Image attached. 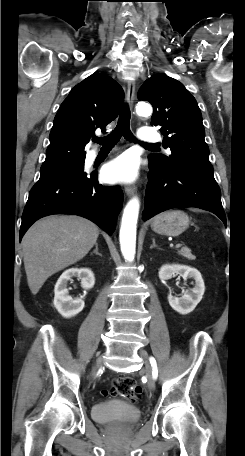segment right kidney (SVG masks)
Listing matches in <instances>:
<instances>
[{
	"label": "right kidney",
	"mask_w": 245,
	"mask_h": 456,
	"mask_svg": "<svg viewBox=\"0 0 245 456\" xmlns=\"http://www.w3.org/2000/svg\"><path fill=\"white\" fill-rule=\"evenodd\" d=\"M72 277H79L85 290L93 288L95 284L94 274L88 268H71L62 273L54 288V306L64 318L77 315L85 306L83 297L73 299L69 296L67 284Z\"/></svg>",
	"instance_id": "obj_1"
}]
</instances>
